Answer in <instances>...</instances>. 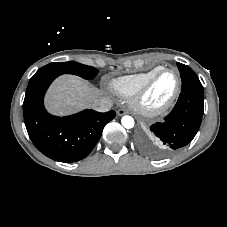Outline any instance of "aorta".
<instances>
[{"instance_id": "obj_1", "label": "aorta", "mask_w": 227, "mask_h": 227, "mask_svg": "<svg viewBox=\"0 0 227 227\" xmlns=\"http://www.w3.org/2000/svg\"><path fill=\"white\" fill-rule=\"evenodd\" d=\"M121 123H122L123 127L127 128V129H131L134 127V119L128 115L122 117Z\"/></svg>"}]
</instances>
